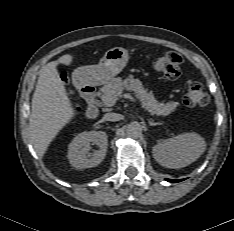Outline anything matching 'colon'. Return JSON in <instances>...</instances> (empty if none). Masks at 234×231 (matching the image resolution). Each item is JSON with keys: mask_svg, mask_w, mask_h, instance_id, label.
I'll use <instances>...</instances> for the list:
<instances>
[{"mask_svg": "<svg viewBox=\"0 0 234 231\" xmlns=\"http://www.w3.org/2000/svg\"><path fill=\"white\" fill-rule=\"evenodd\" d=\"M181 57L174 52H165L156 57L152 62V67L155 71L162 73L168 79L174 80L180 76L181 72ZM208 96L202 89L199 83H191L187 93L184 96V104L189 108H200L206 106ZM74 109L79 111V105L74 104Z\"/></svg>", "mask_w": 234, "mask_h": 231, "instance_id": "obj_1", "label": "colon"}]
</instances>
